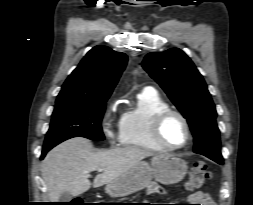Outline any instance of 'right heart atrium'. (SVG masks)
<instances>
[{"instance_id":"right-heart-atrium-1","label":"right heart atrium","mask_w":253,"mask_h":205,"mask_svg":"<svg viewBox=\"0 0 253 205\" xmlns=\"http://www.w3.org/2000/svg\"><path fill=\"white\" fill-rule=\"evenodd\" d=\"M112 108V105L108 106L102 118V131L110 142L115 140L118 128L112 117Z\"/></svg>"}]
</instances>
